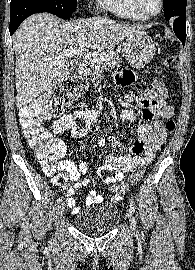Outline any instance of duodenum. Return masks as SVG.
I'll return each mask as SVG.
<instances>
[{
    "label": "duodenum",
    "instance_id": "1",
    "mask_svg": "<svg viewBox=\"0 0 195 270\" xmlns=\"http://www.w3.org/2000/svg\"><path fill=\"white\" fill-rule=\"evenodd\" d=\"M79 74L80 75H83V74H85V72H86V68H85V66L84 65H80V67H79Z\"/></svg>",
    "mask_w": 195,
    "mask_h": 270
}]
</instances>
